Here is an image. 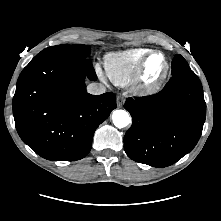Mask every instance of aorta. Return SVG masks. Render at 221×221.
I'll return each instance as SVG.
<instances>
[{
    "mask_svg": "<svg viewBox=\"0 0 221 221\" xmlns=\"http://www.w3.org/2000/svg\"><path fill=\"white\" fill-rule=\"evenodd\" d=\"M112 120L115 127L121 129L131 123V117L125 110H115L112 114Z\"/></svg>",
    "mask_w": 221,
    "mask_h": 221,
    "instance_id": "obj_1",
    "label": "aorta"
}]
</instances>
